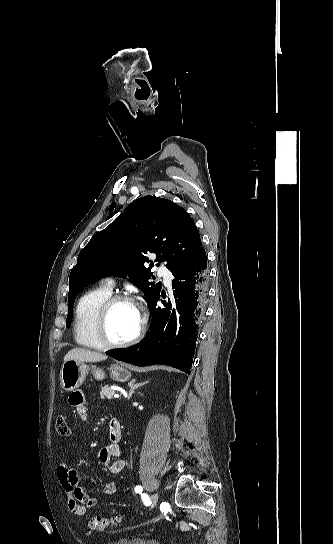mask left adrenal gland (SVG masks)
Segmentation results:
<instances>
[{
  "mask_svg": "<svg viewBox=\"0 0 333 544\" xmlns=\"http://www.w3.org/2000/svg\"><path fill=\"white\" fill-rule=\"evenodd\" d=\"M135 382H136V380L133 379V380H131V381L129 382V384H128V385L130 386V391H129L128 399H130V398L132 397V395H133L134 392H135V389H137V388H139V387H141V386H143V385H145V384L148 383V381H146V382H141V383H138V384H135Z\"/></svg>",
  "mask_w": 333,
  "mask_h": 544,
  "instance_id": "1",
  "label": "left adrenal gland"
}]
</instances>
